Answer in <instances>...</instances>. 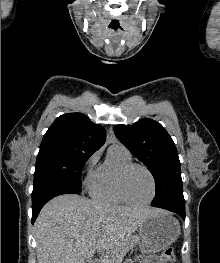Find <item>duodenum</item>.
Wrapping results in <instances>:
<instances>
[{
  "label": "duodenum",
  "instance_id": "1",
  "mask_svg": "<svg viewBox=\"0 0 220 263\" xmlns=\"http://www.w3.org/2000/svg\"><path fill=\"white\" fill-rule=\"evenodd\" d=\"M90 263H97V261H92V262H90Z\"/></svg>",
  "mask_w": 220,
  "mask_h": 263
}]
</instances>
